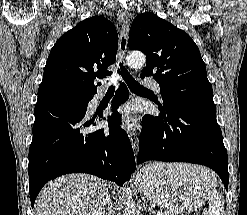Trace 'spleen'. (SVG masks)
I'll return each mask as SVG.
<instances>
[{
	"instance_id": "spleen-1",
	"label": "spleen",
	"mask_w": 247,
	"mask_h": 215,
	"mask_svg": "<svg viewBox=\"0 0 247 215\" xmlns=\"http://www.w3.org/2000/svg\"><path fill=\"white\" fill-rule=\"evenodd\" d=\"M207 173L211 174L210 171H207ZM208 199L209 215H224V199L222 194L213 188Z\"/></svg>"
}]
</instances>
